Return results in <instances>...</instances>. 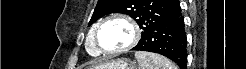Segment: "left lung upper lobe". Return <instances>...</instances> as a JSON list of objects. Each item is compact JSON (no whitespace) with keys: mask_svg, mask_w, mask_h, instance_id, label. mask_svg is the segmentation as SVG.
<instances>
[{"mask_svg":"<svg viewBox=\"0 0 246 69\" xmlns=\"http://www.w3.org/2000/svg\"><path fill=\"white\" fill-rule=\"evenodd\" d=\"M178 6V0H99L88 25L104 15L123 13L131 16L144 32Z\"/></svg>","mask_w":246,"mask_h":69,"instance_id":"obj_1","label":"left lung upper lobe"}]
</instances>
